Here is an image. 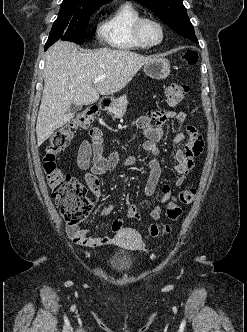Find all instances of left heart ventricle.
I'll use <instances>...</instances> for the list:
<instances>
[{
	"label": "left heart ventricle",
	"mask_w": 247,
	"mask_h": 332,
	"mask_svg": "<svg viewBox=\"0 0 247 332\" xmlns=\"http://www.w3.org/2000/svg\"><path fill=\"white\" fill-rule=\"evenodd\" d=\"M141 33L147 43H155L160 39L159 28L151 21H147L142 25Z\"/></svg>",
	"instance_id": "1"
}]
</instances>
